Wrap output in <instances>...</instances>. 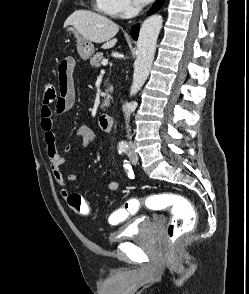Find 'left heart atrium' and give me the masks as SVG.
<instances>
[{
	"instance_id": "obj_1",
	"label": "left heart atrium",
	"mask_w": 249,
	"mask_h": 294,
	"mask_svg": "<svg viewBox=\"0 0 249 294\" xmlns=\"http://www.w3.org/2000/svg\"><path fill=\"white\" fill-rule=\"evenodd\" d=\"M137 1L140 2V3H148V2H150L152 0H137Z\"/></svg>"
}]
</instances>
